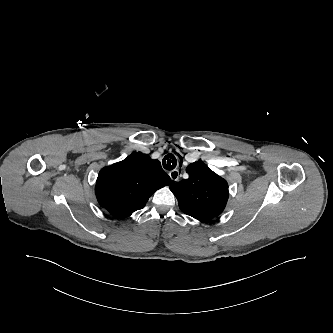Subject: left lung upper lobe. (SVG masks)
<instances>
[{
  "label": "left lung upper lobe",
  "mask_w": 333,
  "mask_h": 333,
  "mask_svg": "<svg viewBox=\"0 0 333 333\" xmlns=\"http://www.w3.org/2000/svg\"><path fill=\"white\" fill-rule=\"evenodd\" d=\"M188 179L170 186L176 196L180 209L201 213H221L228 200V184L202 162L187 166Z\"/></svg>",
  "instance_id": "5c2ea615"
}]
</instances>
